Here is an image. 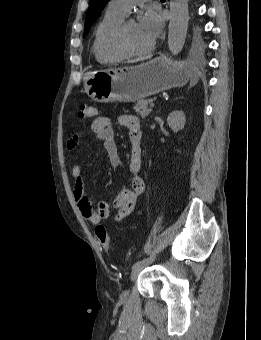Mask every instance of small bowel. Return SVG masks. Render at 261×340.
<instances>
[{"instance_id": "small-bowel-1", "label": "small bowel", "mask_w": 261, "mask_h": 340, "mask_svg": "<svg viewBox=\"0 0 261 340\" xmlns=\"http://www.w3.org/2000/svg\"><path fill=\"white\" fill-rule=\"evenodd\" d=\"M119 123L127 129L131 143L128 170L132 174V181L131 187L122 190L113 201L112 206L116 209V220H122L132 213L139 196L145 189V183L138 175L142 161V133L139 120L135 116L123 115L119 118ZM91 129L101 141L111 166L117 167L120 163V157L111 120L106 116H99L92 122ZM78 141L79 135L76 134L69 139L67 148L69 150L74 149ZM72 177L74 179L73 193L82 216L93 225L99 224L102 220L108 218L111 213L109 204L106 202L94 204L92 202L86 193L85 179L81 166L78 163H75L72 167Z\"/></svg>"}]
</instances>
